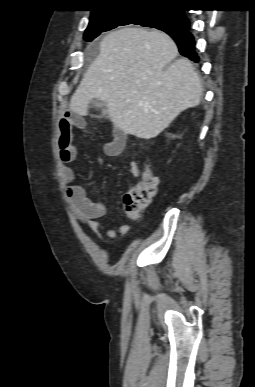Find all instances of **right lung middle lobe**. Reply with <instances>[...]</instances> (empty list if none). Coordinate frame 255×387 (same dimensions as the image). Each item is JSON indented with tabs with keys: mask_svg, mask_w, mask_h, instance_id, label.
I'll return each mask as SVG.
<instances>
[{
	"mask_svg": "<svg viewBox=\"0 0 255 387\" xmlns=\"http://www.w3.org/2000/svg\"><path fill=\"white\" fill-rule=\"evenodd\" d=\"M136 24L160 30L178 29L188 25V19L176 9L134 7L115 9L91 15L85 31V41H92L102 32L118 26Z\"/></svg>",
	"mask_w": 255,
	"mask_h": 387,
	"instance_id": "obj_1",
	"label": "right lung middle lobe"
}]
</instances>
